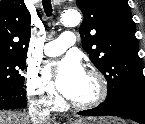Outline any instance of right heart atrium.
I'll return each mask as SVG.
<instances>
[{
  "instance_id": "1",
  "label": "right heart atrium",
  "mask_w": 145,
  "mask_h": 124,
  "mask_svg": "<svg viewBox=\"0 0 145 124\" xmlns=\"http://www.w3.org/2000/svg\"><path fill=\"white\" fill-rule=\"evenodd\" d=\"M26 91L32 103L46 110H53L59 103L54 88L46 82L37 70H29L26 75Z\"/></svg>"
}]
</instances>
